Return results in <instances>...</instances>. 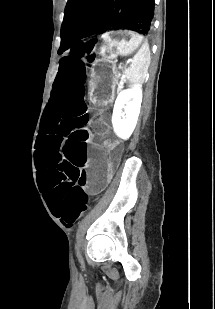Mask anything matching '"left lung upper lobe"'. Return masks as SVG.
Here are the masks:
<instances>
[{
	"instance_id": "obj_1",
	"label": "left lung upper lobe",
	"mask_w": 215,
	"mask_h": 309,
	"mask_svg": "<svg viewBox=\"0 0 215 309\" xmlns=\"http://www.w3.org/2000/svg\"><path fill=\"white\" fill-rule=\"evenodd\" d=\"M153 14L154 0H68L58 52L109 29L129 28L148 34Z\"/></svg>"
}]
</instances>
